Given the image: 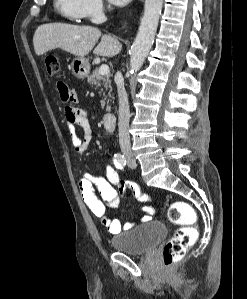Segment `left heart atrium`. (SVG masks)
I'll use <instances>...</instances> for the list:
<instances>
[{
	"label": "left heart atrium",
	"instance_id": "obj_1",
	"mask_svg": "<svg viewBox=\"0 0 247 299\" xmlns=\"http://www.w3.org/2000/svg\"><path fill=\"white\" fill-rule=\"evenodd\" d=\"M109 1L116 6H123L126 5L131 0H109Z\"/></svg>",
	"mask_w": 247,
	"mask_h": 299
}]
</instances>
